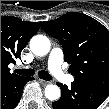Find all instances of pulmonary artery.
Wrapping results in <instances>:
<instances>
[{"mask_svg": "<svg viewBox=\"0 0 109 109\" xmlns=\"http://www.w3.org/2000/svg\"><path fill=\"white\" fill-rule=\"evenodd\" d=\"M63 51L60 47L51 50L47 60V67L52 76L59 82L70 84L74 78L65 73L63 67Z\"/></svg>", "mask_w": 109, "mask_h": 109, "instance_id": "obj_1", "label": "pulmonary artery"}]
</instances>
